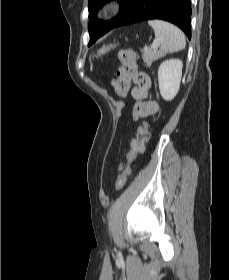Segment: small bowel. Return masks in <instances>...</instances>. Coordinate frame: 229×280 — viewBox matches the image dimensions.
Here are the masks:
<instances>
[{"label":"small bowel","instance_id":"c3829d8e","mask_svg":"<svg viewBox=\"0 0 229 280\" xmlns=\"http://www.w3.org/2000/svg\"><path fill=\"white\" fill-rule=\"evenodd\" d=\"M118 80L113 82V86L116 88ZM117 91V90H116ZM119 95L122 97L127 96L130 94L133 99H135L136 104L134 108V116L135 117H146L153 114L158 113L159 106L158 104L153 101L148 93L147 89L137 85L131 89V82L128 84V87L122 91L118 92Z\"/></svg>","mask_w":229,"mask_h":280}]
</instances>
